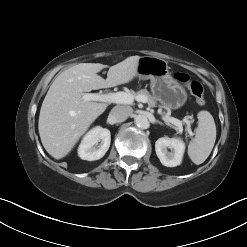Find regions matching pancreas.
<instances>
[{"instance_id": "pancreas-1", "label": "pancreas", "mask_w": 247, "mask_h": 247, "mask_svg": "<svg viewBox=\"0 0 247 247\" xmlns=\"http://www.w3.org/2000/svg\"><path fill=\"white\" fill-rule=\"evenodd\" d=\"M130 94L136 98L138 96H144L146 98V102L144 103H147L149 107H156V100L153 98V96L148 92L147 89H141L140 91L138 92H134V91H131ZM161 114H163L164 116L168 117V113L166 112H161ZM189 123H192L193 121L192 120H189V117H187Z\"/></svg>"}]
</instances>
